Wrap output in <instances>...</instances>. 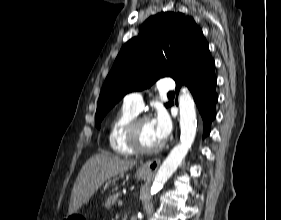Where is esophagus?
<instances>
[{"label":"esophagus","instance_id":"esophagus-1","mask_svg":"<svg viewBox=\"0 0 281 220\" xmlns=\"http://www.w3.org/2000/svg\"><path fill=\"white\" fill-rule=\"evenodd\" d=\"M161 163V160L160 159H152V160H149L143 167L144 170L146 171H149V172H152V171H155L157 170V168L159 167Z\"/></svg>","mask_w":281,"mask_h":220}]
</instances>
